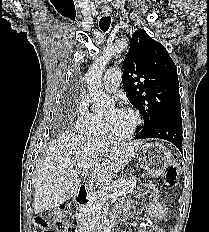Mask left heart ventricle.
Instances as JSON below:
<instances>
[{
    "mask_svg": "<svg viewBox=\"0 0 209 232\" xmlns=\"http://www.w3.org/2000/svg\"><path fill=\"white\" fill-rule=\"evenodd\" d=\"M103 117L107 119L109 129L114 134L127 133L134 122V119L129 112L114 107L108 109Z\"/></svg>",
    "mask_w": 209,
    "mask_h": 232,
    "instance_id": "obj_1",
    "label": "left heart ventricle"
}]
</instances>
